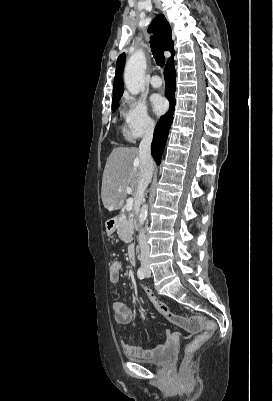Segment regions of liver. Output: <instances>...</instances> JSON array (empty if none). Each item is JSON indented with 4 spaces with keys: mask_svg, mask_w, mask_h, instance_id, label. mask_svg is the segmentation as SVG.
<instances>
[{
    "mask_svg": "<svg viewBox=\"0 0 273 401\" xmlns=\"http://www.w3.org/2000/svg\"><path fill=\"white\" fill-rule=\"evenodd\" d=\"M140 176V152L135 146L113 148L105 164L101 196L105 209H121L127 196L126 188H132L136 196Z\"/></svg>",
    "mask_w": 273,
    "mask_h": 401,
    "instance_id": "1",
    "label": "liver"
}]
</instances>
